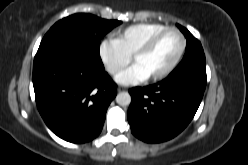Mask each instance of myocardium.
<instances>
[{"label": "myocardium", "mask_w": 248, "mask_h": 165, "mask_svg": "<svg viewBox=\"0 0 248 165\" xmlns=\"http://www.w3.org/2000/svg\"><path fill=\"white\" fill-rule=\"evenodd\" d=\"M167 32H174L178 35L179 39H180V49L179 52L177 54V56L175 57V59L172 61V63L166 67L162 72L149 77L150 81H159L164 79L165 77H167L181 62L185 51H186V47H187V42H186V38L183 35V33L176 27H165L157 32H155L154 34H152L133 54L132 56V61L134 62V60L147 53L152 47L153 45L156 43V41L165 33Z\"/></svg>", "instance_id": "obj_1"}]
</instances>
